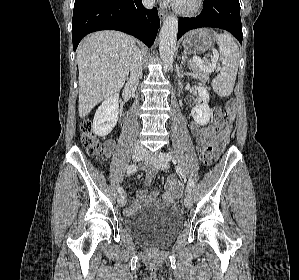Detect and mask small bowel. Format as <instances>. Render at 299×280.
<instances>
[{"instance_id":"c3829d8e","label":"small bowel","mask_w":299,"mask_h":280,"mask_svg":"<svg viewBox=\"0 0 299 280\" xmlns=\"http://www.w3.org/2000/svg\"><path fill=\"white\" fill-rule=\"evenodd\" d=\"M231 125H227L223 130L216 132L214 127L200 126L196 123H191L190 130L192 135L196 139V149L201 155L203 149L207 146H211L213 149V156H217L227 145L229 136L231 133ZM115 142L113 140H107L104 144V154L110 156L113 152ZM155 172L149 171L145 176V184L149 185L155 178ZM182 193L181 184L171 177L165 187V192L161 201L156 200L157 193H148L146 190H140L137 194V198L132 202L125 212L130 215L137 212L142 206H170Z\"/></svg>"}]
</instances>
